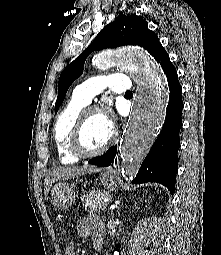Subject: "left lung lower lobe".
Masks as SVG:
<instances>
[{"instance_id":"0a47b994","label":"left lung lower lobe","mask_w":221,"mask_h":255,"mask_svg":"<svg viewBox=\"0 0 221 255\" xmlns=\"http://www.w3.org/2000/svg\"><path fill=\"white\" fill-rule=\"evenodd\" d=\"M154 58L161 65L168 80L169 104L162 130L132 182H157L166 186L173 194L178 172L177 152L180 147L179 131L182 127L181 112L184 106L181 98L182 87L178 82L176 69L163 47ZM116 152L117 145L109 148L102 156L91 159L89 163L101 167L109 166L113 163Z\"/></svg>"}]
</instances>
